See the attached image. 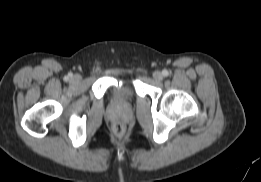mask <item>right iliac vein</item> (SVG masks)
I'll return each mask as SVG.
<instances>
[{
	"label": "right iliac vein",
	"instance_id": "1",
	"mask_svg": "<svg viewBox=\"0 0 261 182\" xmlns=\"http://www.w3.org/2000/svg\"><path fill=\"white\" fill-rule=\"evenodd\" d=\"M73 80H74V81H80V80H81V76H80V75H75V76L73 77Z\"/></svg>",
	"mask_w": 261,
	"mask_h": 182
}]
</instances>
